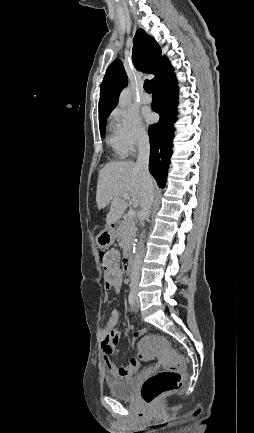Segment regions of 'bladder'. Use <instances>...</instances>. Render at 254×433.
<instances>
[{
    "instance_id": "obj_1",
    "label": "bladder",
    "mask_w": 254,
    "mask_h": 433,
    "mask_svg": "<svg viewBox=\"0 0 254 433\" xmlns=\"http://www.w3.org/2000/svg\"><path fill=\"white\" fill-rule=\"evenodd\" d=\"M137 378L108 383L110 394L119 399H133L136 394Z\"/></svg>"
}]
</instances>
